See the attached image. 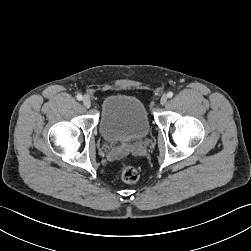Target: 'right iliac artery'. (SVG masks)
I'll return each instance as SVG.
<instances>
[{
    "label": "right iliac artery",
    "mask_w": 251,
    "mask_h": 251,
    "mask_svg": "<svg viewBox=\"0 0 251 251\" xmlns=\"http://www.w3.org/2000/svg\"><path fill=\"white\" fill-rule=\"evenodd\" d=\"M76 98H77V100H79V101H81V100L83 99V97H82L81 94H78V95L76 96Z\"/></svg>",
    "instance_id": "1"
}]
</instances>
